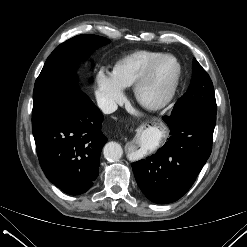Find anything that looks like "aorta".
Returning <instances> with one entry per match:
<instances>
[{
  "label": "aorta",
  "mask_w": 247,
  "mask_h": 247,
  "mask_svg": "<svg viewBox=\"0 0 247 247\" xmlns=\"http://www.w3.org/2000/svg\"><path fill=\"white\" fill-rule=\"evenodd\" d=\"M104 157L109 161H118L123 155V149L117 142H108L103 149Z\"/></svg>",
  "instance_id": "aorta-1"
}]
</instances>
